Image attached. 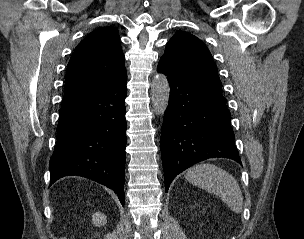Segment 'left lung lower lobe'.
I'll return each instance as SVG.
<instances>
[{
    "instance_id": "left-lung-lower-lobe-1",
    "label": "left lung lower lobe",
    "mask_w": 304,
    "mask_h": 239,
    "mask_svg": "<svg viewBox=\"0 0 304 239\" xmlns=\"http://www.w3.org/2000/svg\"><path fill=\"white\" fill-rule=\"evenodd\" d=\"M157 71L171 87L160 138L165 190L177 174L208 158L241 164L223 95L199 84L160 60Z\"/></svg>"
}]
</instances>
